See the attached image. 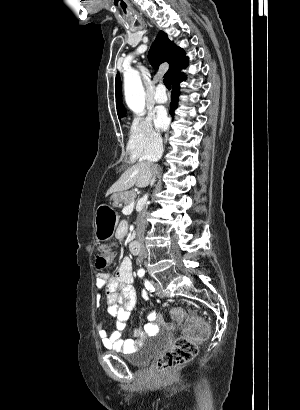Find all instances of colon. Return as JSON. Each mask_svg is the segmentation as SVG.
<instances>
[{
  "mask_svg": "<svg viewBox=\"0 0 300 410\" xmlns=\"http://www.w3.org/2000/svg\"><path fill=\"white\" fill-rule=\"evenodd\" d=\"M115 261L112 249L106 248L99 252L94 259L98 269H105ZM181 308L172 310L173 324L185 330L184 337L177 339L172 346L156 360V371L167 376L173 369L191 361L198 351L199 345L204 343L210 335L209 325L201 319L191 317L185 321Z\"/></svg>",
  "mask_w": 300,
  "mask_h": 410,
  "instance_id": "obj_1",
  "label": "colon"
}]
</instances>
